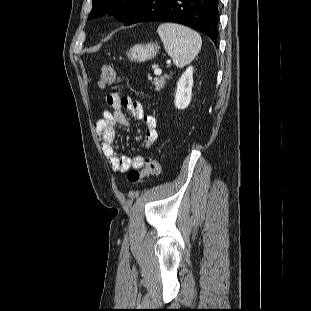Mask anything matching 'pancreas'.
Wrapping results in <instances>:
<instances>
[{
    "label": "pancreas",
    "mask_w": 311,
    "mask_h": 311,
    "mask_svg": "<svg viewBox=\"0 0 311 311\" xmlns=\"http://www.w3.org/2000/svg\"><path fill=\"white\" fill-rule=\"evenodd\" d=\"M152 84L155 86L156 91H160L165 86L164 78H156L153 80Z\"/></svg>",
    "instance_id": "obj_1"
}]
</instances>
